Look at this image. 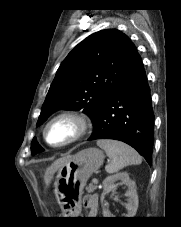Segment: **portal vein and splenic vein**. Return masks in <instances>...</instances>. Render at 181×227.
<instances>
[{
  "mask_svg": "<svg viewBox=\"0 0 181 227\" xmlns=\"http://www.w3.org/2000/svg\"><path fill=\"white\" fill-rule=\"evenodd\" d=\"M92 183H93V184H97V183H98V179H97V178H93V179H92Z\"/></svg>",
  "mask_w": 181,
  "mask_h": 227,
  "instance_id": "18ae733b",
  "label": "portal vein and splenic vein"
}]
</instances>
